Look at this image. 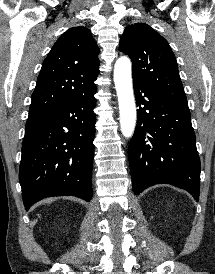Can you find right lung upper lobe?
I'll return each instance as SVG.
<instances>
[{"label":"right lung upper lobe","instance_id":"1","mask_svg":"<svg viewBox=\"0 0 215 274\" xmlns=\"http://www.w3.org/2000/svg\"><path fill=\"white\" fill-rule=\"evenodd\" d=\"M99 48L89 29H68L43 62L29 113L44 114L95 86Z\"/></svg>","mask_w":215,"mask_h":274}]
</instances>
